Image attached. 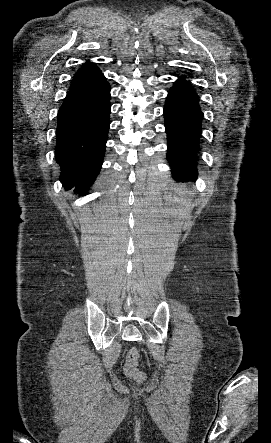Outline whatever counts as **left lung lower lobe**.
Returning a JSON list of instances; mask_svg holds the SVG:
<instances>
[{
	"label": "left lung lower lobe",
	"instance_id": "obj_1",
	"mask_svg": "<svg viewBox=\"0 0 271 443\" xmlns=\"http://www.w3.org/2000/svg\"><path fill=\"white\" fill-rule=\"evenodd\" d=\"M168 140L167 159L177 180L196 179L203 113L191 83L179 76L170 88L164 106Z\"/></svg>",
	"mask_w": 271,
	"mask_h": 443
}]
</instances>
